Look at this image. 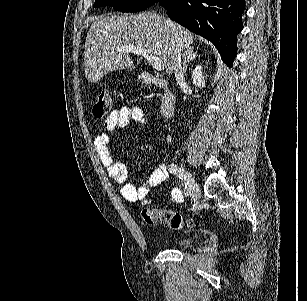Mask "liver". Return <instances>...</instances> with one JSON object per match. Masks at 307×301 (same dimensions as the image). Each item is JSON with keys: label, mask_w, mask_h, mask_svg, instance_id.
<instances>
[{"label": "liver", "mask_w": 307, "mask_h": 301, "mask_svg": "<svg viewBox=\"0 0 307 301\" xmlns=\"http://www.w3.org/2000/svg\"><path fill=\"white\" fill-rule=\"evenodd\" d=\"M196 34L172 22L154 10L138 14H100L92 22L85 40L84 70L88 82H97L109 70L137 68L129 52H118L116 46H141L160 56L167 74L174 70L176 46L190 48Z\"/></svg>", "instance_id": "1"}]
</instances>
